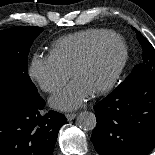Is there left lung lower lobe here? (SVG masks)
I'll use <instances>...</instances> for the list:
<instances>
[{"label":"left lung lower lobe","instance_id":"0a47b994","mask_svg":"<svg viewBox=\"0 0 155 155\" xmlns=\"http://www.w3.org/2000/svg\"><path fill=\"white\" fill-rule=\"evenodd\" d=\"M100 155H148L155 147V71L121 83L94 107Z\"/></svg>","mask_w":155,"mask_h":155}]
</instances>
